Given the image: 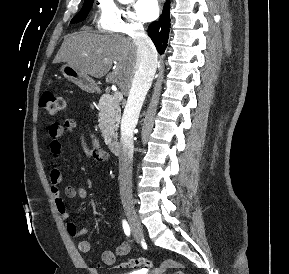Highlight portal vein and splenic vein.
I'll return each instance as SVG.
<instances>
[{
    "instance_id": "obj_1",
    "label": "portal vein and splenic vein",
    "mask_w": 289,
    "mask_h": 274,
    "mask_svg": "<svg viewBox=\"0 0 289 274\" xmlns=\"http://www.w3.org/2000/svg\"><path fill=\"white\" fill-rule=\"evenodd\" d=\"M114 98H116V99H118V100H122L123 99V94H122V92H120V91H116L115 93H114Z\"/></svg>"
}]
</instances>
